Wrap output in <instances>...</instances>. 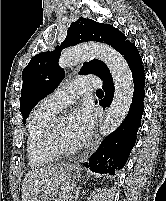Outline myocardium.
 <instances>
[{"instance_id":"1","label":"myocardium","mask_w":166,"mask_h":201,"mask_svg":"<svg viewBox=\"0 0 166 201\" xmlns=\"http://www.w3.org/2000/svg\"><path fill=\"white\" fill-rule=\"evenodd\" d=\"M58 119L59 118H53L51 120L46 132V143L51 151L54 152L57 156H72L79 151L80 147L76 146L73 148H66L60 143L56 127Z\"/></svg>"}]
</instances>
